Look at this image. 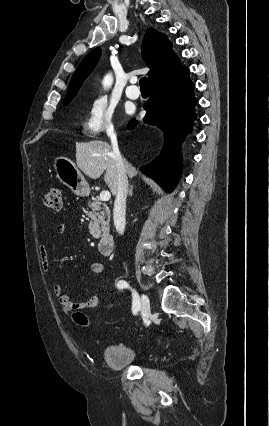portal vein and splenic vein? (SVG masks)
I'll use <instances>...</instances> for the list:
<instances>
[{
	"mask_svg": "<svg viewBox=\"0 0 269 426\" xmlns=\"http://www.w3.org/2000/svg\"><path fill=\"white\" fill-rule=\"evenodd\" d=\"M101 201H109L111 198V194L109 191H102L99 196Z\"/></svg>",
	"mask_w": 269,
	"mask_h": 426,
	"instance_id": "obj_1",
	"label": "portal vein and splenic vein"
}]
</instances>
